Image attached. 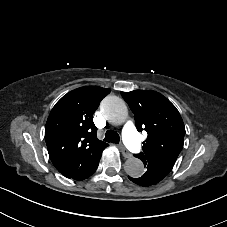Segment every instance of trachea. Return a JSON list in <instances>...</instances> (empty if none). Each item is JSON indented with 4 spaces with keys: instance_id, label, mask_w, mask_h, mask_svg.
Here are the masks:
<instances>
[{
    "instance_id": "trachea-1",
    "label": "trachea",
    "mask_w": 227,
    "mask_h": 227,
    "mask_svg": "<svg viewBox=\"0 0 227 227\" xmlns=\"http://www.w3.org/2000/svg\"><path fill=\"white\" fill-rule=\"evenodd\" d=\"M105 141L107 142H112L115 144H118L120 141V137L118 135V133L114 130H107L105 133Z\"/></svg>"
}]
</instances>
